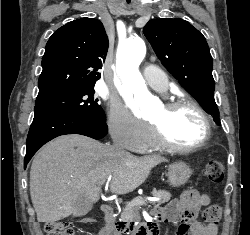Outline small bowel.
I'll return each mask as SVG.
<instances>
[{
    "instance_id": "1",
    "label": "small bowel",
    "mask_w": 250,
    "mask_h": 235,
    "mask_svg": "<svg viewBox=\"0 0 250 235\" xmlns=\"http://www.w3.org/2000/svg\"><path fill=\"white\" fill-rule=\"evenodd\" d=\"M209 204V195L200 194L195 190H186L178 200H172L165 207L155 209L153 219L173 222L180 216L182 222L178 226L175 235H217V226L203 225L194 219L197 212Z\"/></svg>"
}]
</instances>
